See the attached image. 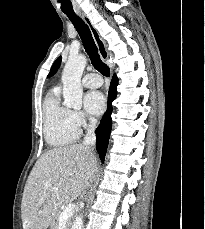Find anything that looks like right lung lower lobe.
Here are the masks:
<instances>
[{
    "label": "right lung lower lobe",
    "mask_w": 205,
    "mask_h": 229,
    "mask_svg": "<svg viewBox=\"0 0 205 229\" xmlns=\"http://www.w3.org/2000/svg\"><path fill=\"white\" fill-rule=\"evenodd\" d=\"M117 85H118V79L117 77L114 76L109 89L107 111L102 117L101 122L96 129V149L102 162H104V157L108 147V141H109L110 132L112 128V120H111V113L113 110L112 102L117 95V91H116Z\"/></svg>",
    "instance_id": "obj_1"
}]
</instances>
